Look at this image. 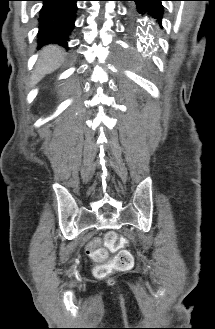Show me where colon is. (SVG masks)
I'll return each mask as SVG.
<instances>
[{"label":"colon","instance_id":"colon-1","mask_svg":"<svg viewBox=\"0 0 215 329\" xmlns=\"http://www.w3.org/2000/svg\"><path fill=\"white\" fill-rule=\"evenodd\" d=\"M125 241L120 239L114 233H108L105 236L103 246L98 243H92L88 248L89 256L97 263L95 268L96 276L103 278L112 270H124L133 263L131 253L124 249ZM108 250L118 251V254L109 260Z\"/></svg>","mask_w":215,"mask_h":329}]
</instances>
